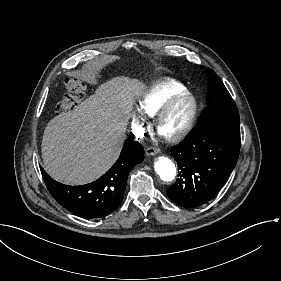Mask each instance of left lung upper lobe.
Wrapping results in <instances>:
<instances>
[{
    "label": "left lung upper lobe",
    "mask_w": 281,
    "mask_h": 281,
    "mask_svg": "<svg viewBox=\"0 0 281 281\" xmlns=\"http://www.w3.org/2000/svg\"><path fill=\"white\" fill-rule=\"evenodd\" d=\"M208 76L207 106L203 110L199 122H239L236 104L222 81L213 70L209 71Z\"/></svg>",
    "instance_id": "5c2ea615"
}]
</instances>
